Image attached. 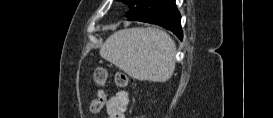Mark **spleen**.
<instances>
[{
    "label": "spleen",
    "mask_w": 273,
    "mask_h": 118,
    "mask_svg": "<svg viewBox=\"0 0 273 118\" xmlns=\"http://www.w3.org/2000/svg\"><path fill=\"white\" fill-rule=\"evenodd\" d=\"M176 45L164 31L129 28L111 35L100 55L129 76L141 81L165 82L175 70Z\"/></svg>",
    "instance_id": "1"
}]
</instances>
